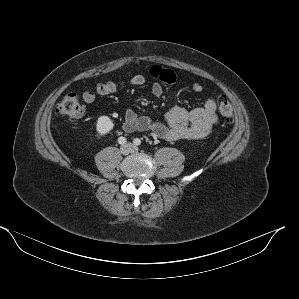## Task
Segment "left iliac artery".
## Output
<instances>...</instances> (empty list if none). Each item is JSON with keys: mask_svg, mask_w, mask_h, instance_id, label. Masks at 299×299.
I'll return each mask as SVG.
<instances>
[{"mask_svg": "<svg viewBox=\"0 0 299 299\" xmlns=\"http://www.w3.org/2000/svg\"><path fill=\"white\" fill-rule=\"evenodd\" d=\"M133 143L136 145V146H139L141 144V140L139 138H135L133 140Z\"/></svg>", "mask_w": 299, "mask_h": 299, "instance_id": "1", "label": "left iliac artery"}]
</instances>
